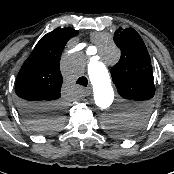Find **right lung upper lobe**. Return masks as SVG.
Segmentation results:
<instances>
[{
    "label": "right lung upper lobe",
    "instance_id": "right-lung-upper-lobe-1",
    "mask_svg": "<svg viewBox=\"0 0 174 174\" xmlns=\"http://www.w3.org/2000/svg\"><path fill=\"white\" fill-rule=\"evenodd\" d=\"M77 34L72 28H57L40 39L16 78L18 100L58 104L63 82L60 56L68 40Z\"/></svg>",
    "mask_w": 174,
    "mask_h": 174
}]
</instances>
